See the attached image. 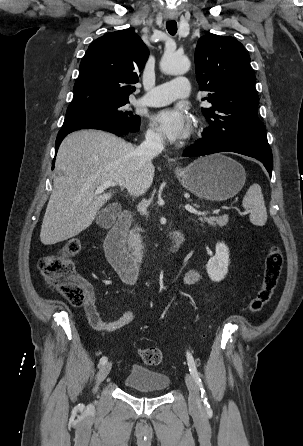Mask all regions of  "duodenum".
I'll use <instances>...</instances> for the list:
<instances>
[{
    "label": "duodenum",
    "mask_w": 303,
    "mask_h": 446,
    "mask_svg": "<svg viewBox=\"0 0 303 446\" xmlns=\"http://www.w3.org/2000/svg\"><path fill=\"white\" fill-rule=\"evenodd\" d=\"M131 222V212L122 211L104 241L105 253L110 264L122 279L130 283L136 280L139 272V260L129 254L125 246L127 231ZM183 239V235L179 231H172L169 234L163 249V257L166 260L175 256L183 244Z\"/></svg>",
    "instance_id": "410a0bca"
}]
</instances>
